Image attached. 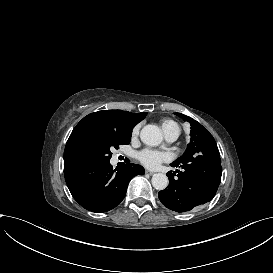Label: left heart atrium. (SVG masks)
Returning <instances> with one entry per match:
<instances>
[{
    "instance_id": "obj_1",
    "label": "left heart atrium",
    "mask_w": 273,
    "mask_h": 273,
    "mask_svg": "<svg viewBox=\"0 0 273 273\" xmlns=\"http://www.w3.org/2000/svg\"><path fill=\"white\" fill-rule=\"evenodd\" d=\"M139 159L144 165L155 167L165 159V155L156 150L144 149L139 153Z\"/></svg>"
}]
</instances>
